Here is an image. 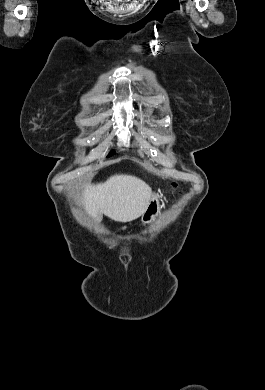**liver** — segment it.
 <instances>
[{
	"label": "liver",
	"instance_id": "6515ba94",
	"mask_svg": "<svg viewBox=\"0 0 265 390\" xmlns=\"http://www.w3.org/2000/svg\"><path fill=\"white\" fill-rule=\"evenodd\" d=\"M151 197L152 190L143 180L116 174L104 183L85 184L79 202L97 221L105 214L118 222H130L145 213Z\"/></svg>",
	"mask_w": 265,
	"mask_h": 390
}]
</instances>
